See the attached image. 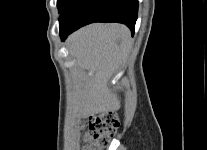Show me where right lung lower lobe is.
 Returning a JSON list of instances; mask_svg holds the SVG:
<instances>
[{
	"label": "right lung lower lobe",
	"mask_w": 207,
	"mask_h": 150,
	"mask_svg": "<svg viewBox=\"0 0 207 150\" xmlns=\"http://www.w3.org/2000/svg\"><path fill=\"white\" fill-rule=\"evenodd\" d=\"M138 0H72L60 13L62 40L78 28L93 22H118L134 34Z\"/></svg>",
	"instance_id": "98d812e1"
}]
</instances>
